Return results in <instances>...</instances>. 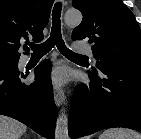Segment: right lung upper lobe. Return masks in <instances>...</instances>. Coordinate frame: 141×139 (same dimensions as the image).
Segmentation results:
<instances>
[{
  "label": "right lung upper lobe",
  "instance_id": "obj_1",
  "mask_svg": "<svg viewBox=\"0 0 141 139\" xmlns=\"http://www.w3.org/2000/svg\"><path fill=\"white\" fill-rule=\"evenodd\" d=\"M54 0H0V56L19 58L20 42L43 39ZM26 51H29L27 48Z\"/></svg>",
  "mask_w": 141,
  "mask_h": 139
}]
</instances>
